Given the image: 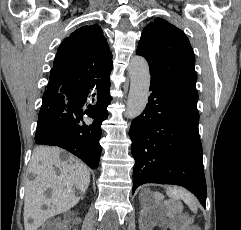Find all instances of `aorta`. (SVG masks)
<instances>
[{
  "mask_svg": "<svg viewBox=\"0 0 241 230\" xmlns=\"http://www.w3.org/2000/svg\"><path fill=\"white\" fill-rule=\"evenodd\" d=\"M128 72L130 76V90L126 116L129 119H134L143 112L148 102L150 71L147 61L141 56L132 57Z\"/></svg>",
  "mask_w": 241,
  "mask_h": 230,
  "instance_id": "762f6f07",
  "label": "aorta"
}]
</instances>
